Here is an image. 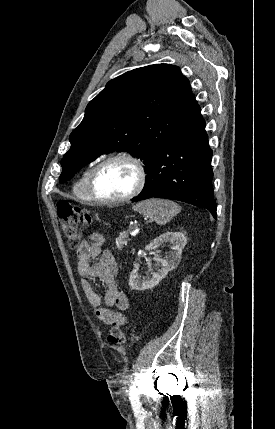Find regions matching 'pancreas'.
Returning <instances> with one entry per match:
<instances>
[{
  "label": "pancreas",
  "mask_w": 275,
  "mask_h": 429,
  "mask_svg": "<svg viewBox=\"0 0 275 429\" xmlns=\"http://www.w3.org/2000/svg\"><path fill=\"white\" fill-rule=\"evenodd\" d=\"M130 230L123 231L116 238V245L118 249H122L124 244L126 243L127 238L129 237Z\"/></svg>",
  "instance_id": "1"
}]
</instances>
